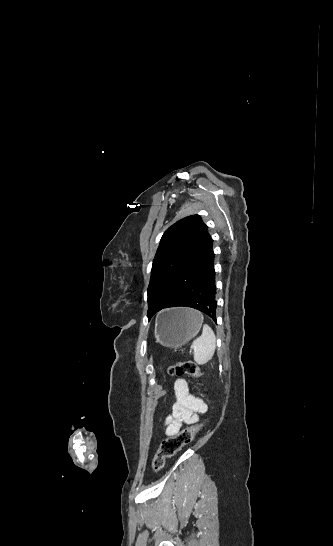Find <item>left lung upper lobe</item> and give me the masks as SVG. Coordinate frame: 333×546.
<instances>
[{
    "label": "left lung upper lobe",
    "mask_w": 333,
    "mask_h": 546,
    "mask_svg": "<svg viewBox=\"0 0 333 546\" xmlns=\"http://www.w3.org/2000/svg\"><path fill=\"white\" fill-rule=\"evenodd\" d=\"M207 234L208 228L199 215L185 217L165 231L153 260L147 291L149 319L161 310L172 284L197 257ZM202 267L199 263L193 273Z\"/></svg>",
    "instance_id": "obj_1"
}]
</instances>
